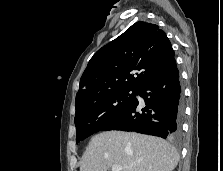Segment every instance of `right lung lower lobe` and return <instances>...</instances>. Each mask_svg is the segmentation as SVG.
<instances>
[{"mask_svg": "<svg viewBox=\"0 0 223 171\" xmlns=\"http://www.w3.org/2000/svg\"><path fill=\"white\" fill-rule=\"evenodd\" d=\"M146 106L142 109L135 98L127 110L101 131H135L162 137L178 139L183 115L182 93L179 71L175 60L159 74L151 78L137 91Z\"/></svg>", "mask_w": 223, "mask_h": 171, "instance_id": "1", "label": "right lung lower lobe"}]
</instances>
